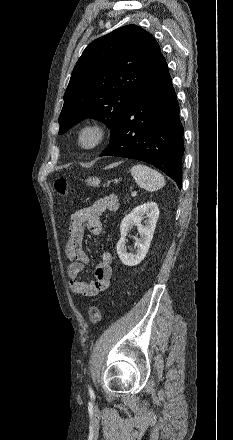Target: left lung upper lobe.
I'll return each instance as SVG.
<instances>
[{"label": "left lung upper lobe", "instance_id": "left-lung-upper-lobe-1", "mask_svg": "<svg viewBox=\"0 0 233 440\" xmlns=\"http://www.w3.org/2000/svg\"><path fill=\"white\" fill-rule=\"evenodd\" d=\"M161 55L154 37L136 25L123 26L91 42L65 91L59 134L83 119L94 118L110 128L112 139Z\"/></svg>", "mask_w": 233, "mask_h": 440}]
</instances>
